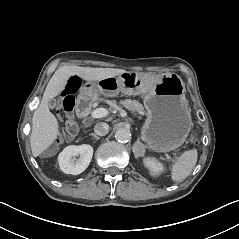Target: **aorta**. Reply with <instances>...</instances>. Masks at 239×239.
I'll return each mask as SVG.
<instances>
[{"label":"aorta","mask_w":239,"mask_h":239,"mask_svg":"<svg viewBox=\"0 0 239 239\" xmlns=\"http://www.w3.org/2000/svg\"><path fill=\"white\" fill-rule=\"evenodd\" d=\"M115 138L118 142H128L131 139V132L127 128H119L115 132Z\"/></svg>","instance_id":"1"}]
</instances>
